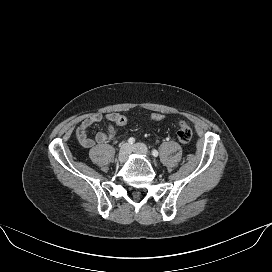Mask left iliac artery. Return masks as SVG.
I'll list each match as a JSON object with an SVG mask.
<instances>
[{
  "label": "left iliac artery",
  "instance_id": "1",
  "mask_svg": "<svg viewBox=\"0 0 272 272\" xmlns=\"http://www.w3.org/2000/svg\"><path fill=\"white\" fill-rule=\"evenodd\" d=\"M158 154H159V153H158V151H157V150H155V149H154V150H152V155H153L154 157H157V156H158Z\"/></svg>",
  "mask_w": 272,
  "mask_h": 272
}]
</instances>
